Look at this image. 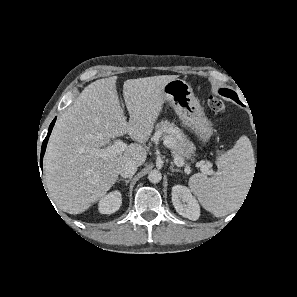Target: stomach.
Listing matches in <instances>:
<instances>
[{"label": "stomach", "mask_w": 297, "mask_h": 297, "mask_svg": "<svg viewBox=\"0 0 297 297\" xmlns=\"http://www.w3.org/2000/svg\"><path fill=\"white\" fill-rule=\"evenodd\" d=\"M162 92L164 101L174 109L182 124L202 143H207L213 133L212 126L189 84L182 79H173L163 86Z\"/></svg>", "instance_id": "obj_1"}]
</instances>
